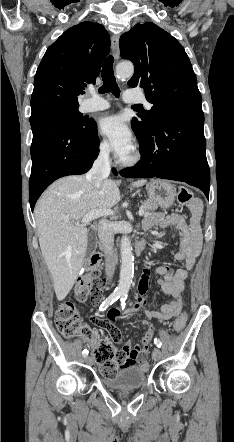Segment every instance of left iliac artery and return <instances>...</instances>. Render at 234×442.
<instances>
[{"label":"left iliac artery","mask_w":234,"mask_h":442,"mask_svg":"<svg viewBox=\"0 0 234 442\" xmlns=\"http://www.w3.org/2000/svg\"><path fill=\"white\" fill-rule=\"evenodd\" d=\"M126 299H127V295H126V294H122V295H121V304H122V308L125 307V300H126ZM154 343H155V345H156L158 348H160L161 345H162L160 339H158V338H155V339H154Z\"/></svg>","instance_id":"left-iliac-artery-1"}]
</instances>
